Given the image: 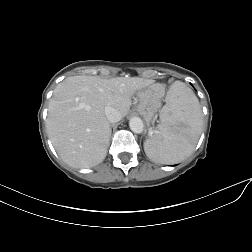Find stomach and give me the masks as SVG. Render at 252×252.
Listing matches in <instances>:
<instances>
[{
    "label": "stomach",
    "instance_id": "stomach-1",
    "mask_svg": "<svg viewBox=\"0 0 252 252\" xmlns=\"http://www.w3.org/2000/svg\"><path fill=\"white\" fill-rule=\"evenodd\" d=\"M165 95V88L160 84H152L137 93V112L147 122H150L161 106V100Z\"/></svg>",
    "mask_w": 252,
    "mask_h": 252
}]
</instances>
